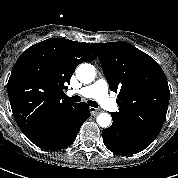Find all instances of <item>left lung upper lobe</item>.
<instances>
[{"instance_id": "5c2ea615", "label": "left lung upper lobe", "mask_w": 178, "mask_h": 178, "mask_svg": "<svg viewBox=\"0 0 178 178\" xmlns=\"http://www.w3.org/2000/svg\"><path fill=\"white\" fill-rule=\"evenodd\" d=\"M109 88L118 93L119 112L111 116L157 137L165 121L170 90L160 65L133 45L93 43Z\"/></svg>"}]
</instances>
